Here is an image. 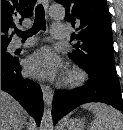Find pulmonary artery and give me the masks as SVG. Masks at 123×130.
I'll list each match as a JSON object with an SVG mask.
<instances>
[{"mask_svg":"<svg viewBox=\"0 0 123 130\" xmlns=\"http://www.w3.org/2000/svg\"><path fill=\"white\" fill-rule=\"evenodd\" d=\"M52 37L55 39H64L67 37V28L63 24H53L51 30ZM34 44V39L27 40L26 42H21L19 40L13 41L11 43L12 49H19L22 47H29Z\"/></svg>","mask_w":123,"mask_h":130,"instance_id":"1","label":"pulmonary artery"}]
</instances>
